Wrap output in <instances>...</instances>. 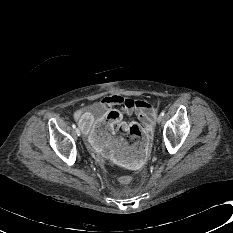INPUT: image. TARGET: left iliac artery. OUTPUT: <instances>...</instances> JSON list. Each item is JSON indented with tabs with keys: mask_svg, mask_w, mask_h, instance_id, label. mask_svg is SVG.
<instances>
[{
	"mask_svg": "<svg viewBox=\"0 0 233 233\" xmlns=\"http://www.w3.org/2000/svg\"><path fill=\"white\" fill-rule=\"evenodd\" d=\"M164 115H165V112H164V111H162V112H161V116L163 117Z\"/></svg>",
	"mask_w": 233,
	"mask_h": 233,
	"instance_id": "1",
	"label": "left iliac artery"
}]
</instances>
